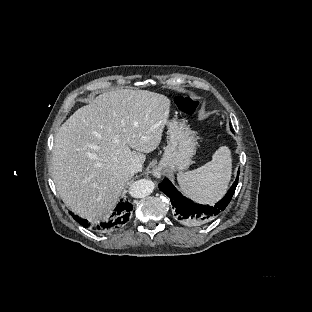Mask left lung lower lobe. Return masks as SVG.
I'll list each match as a JSON object with an SVG mask.
<instances>
[{
    "mask_svg": "<svg viewBox=\"0 0 312 312\" xmlns=\"http://www.w3.org/2000/svg\"><path fill=\"white\" fill-rule=\"evenodd\" d=\"M239 171L237 178L226 195L214 206L201 205L194 203L190 199L182 196L181 193L165 178L159 184L160 190L165 193L171 201L173 215L176 221L192 228H199L213 221L229 204L238 184Z\"/></svg>",
    "mask_w": 312,
    "mask_h": 312,
    "instance_id": "left-lung-lower-lobe-1",
    "label": "left lung lower lobe"
}]
</instances>
